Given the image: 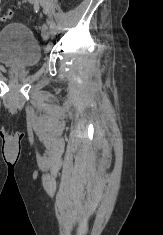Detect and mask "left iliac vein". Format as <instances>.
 <instances>
[{"mask_svg": "<svg viewBox=\"0 0 163 235\" xmlns=\"http://www.w3.org/2000/svg\"><path fill=\"white\" fill-rule=\"evenodd\" d=\"M28 1L32 4L37 3V0H28ZM41 33H42V37L45 41H47L50 38L51 30H50V28L48 27L47 24H43Z\"/></svg>", "mask_w": 163, "mask_h": 235, "instance_id": "left-iliac-vein-1", "label": "left iliac vein"}]
</instances>
